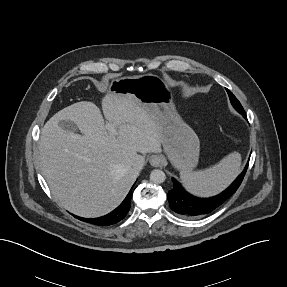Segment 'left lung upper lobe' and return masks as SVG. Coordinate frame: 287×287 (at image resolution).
Listing matches in <instances>:
<instances>
[{
    "label": "left lung upper lobe",
    "instance_id": "1",
    "mask_svg": "<svg viewBox=\"0 0 287 287\" xmlns=\"http://www.w3.org/2000/svg\"><path fill=\"white\" fill-rule=\"evenodd\" d=\"M227 93L229 95L231 104L233 105V107L241 114L245 113L243 107L241 106L240 102L238 101V99L233 95V93L226 89Z\"/></svg>",
    "mask_w": 287,
    "mask_h": 287
}]
</instances>
